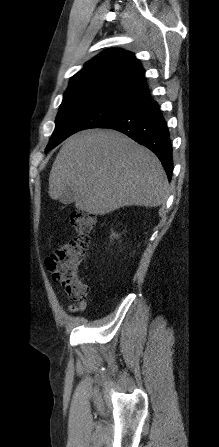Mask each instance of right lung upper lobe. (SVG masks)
Returning <instances> with one entry per match:
<instances>
[{
    "mask_svg": "<svg viewBox=\"0 0 219 447\" xmlns=\"http://www.w3.org/2000/svg\"><path fill=\"white\" fill-rule=\"evenodd\" d=\"M144 69L129 51L108 49L87 62L70 80L69 87H111L145 102L150 93Z\"/></svg>",
    "mask_w": 219,
    "mask_h": 447,
    "instance_id": "obj_1",
    "label": "right lung upper lobe"
}]
</instances>
